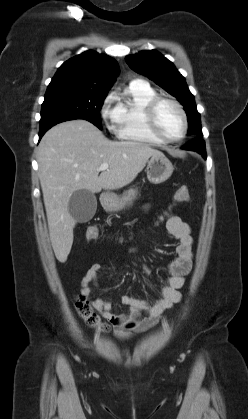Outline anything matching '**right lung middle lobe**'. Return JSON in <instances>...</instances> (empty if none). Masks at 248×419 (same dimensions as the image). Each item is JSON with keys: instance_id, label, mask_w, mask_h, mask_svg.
I'll return each mask as SVG.
<instances>
[{"instance_id": "right-lung-middle-lobe-1", "label": "right lung middle lobe", "mask_w": 248, "mask_h": 419, "mask_svg": "<svg viewBox=\"0 0 248 419\" xmlns=\"http://www.w3.org/2000/svg\"><path fill=\"white\" fill-rule=\"evenodd\" d=\"M107 93L71 88L47 89L41 109L40 124L62 116L85 119L102 129L100 109Z\"/></svg>"}]
</instances>
